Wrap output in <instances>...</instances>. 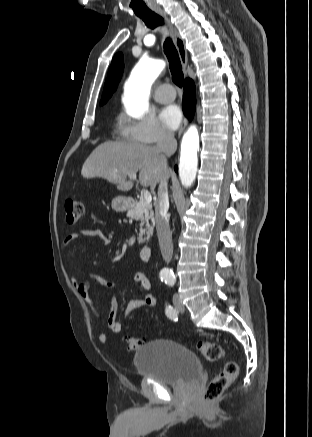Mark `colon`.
I'll list each match as a JSON object with an SVG mask.
<instances>
[{
    "mask_svg": "<svg viewBox=\"0 0 312 437\" xmlns=\"http://www.w3.org/2000/svg\"><path fill=\"white\" fill-rule=\"evenodd\" d=\"M65 219L68 224L76 223L84 212V204L76 199L68 198L64 203ZM142 344V340L136 337L128 339V349L137 350ZM196 348L200 354L209 362L220 361L225 351L223 347L214 342L198 341ZM238 375V364L228 361L224 364L221 371L210 381L202 394V400L213 401L220 397L226 388L236 379Z\"/></svg>",
    "mask_w": 312,
    "mask_h": 437,
    "instance_id": "1",
    "label": "colon"
}]
</instances>
